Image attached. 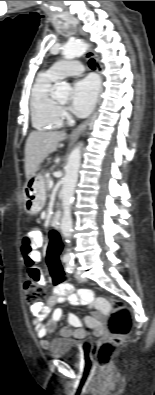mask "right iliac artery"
Returning <instances> with one entry per match:
<instances>
[{
	"instance_id": "1",
	"label": "right iliac artery",
	"mask_w": 155,
	"mask_h": 395,
	"mask_svg": "<svg viewBox=\"0 0 155 395\" xmlns=\"http://www.w3.org/2000/svg\"><path fill=\"white\" fill-rule=\"evenodd\" d=\"M70 259H71L70 256H65V257H64V261H65V262L68 261V260H70Z\"/></svg>"
}]
</instances>
